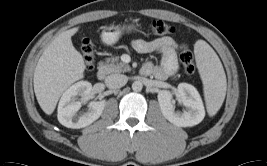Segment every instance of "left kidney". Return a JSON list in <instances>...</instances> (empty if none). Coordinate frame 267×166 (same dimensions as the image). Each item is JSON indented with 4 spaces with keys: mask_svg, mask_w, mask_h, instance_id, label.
Wrapping results in <instances>:
<instances>
[{
    "mask_svg": "<svg viewBox=\"0 0 267 166\" xmlns=\"http://www.w3.org/2000/svg\"><path fill=\"white\" fill-rule=\"evenodd\" d=\"M178 97L187 110L175 111V101L169 91L158 94V102L163 116L179 127H189L199 124L205 116V109L197 89L188 83H180L177 87Z\"/></svg>",
    "mask_w": 267,
    "mask_h": 166,
    "instance_id": "5707ae66",
    "label": "left kidney"
}]
</instances>
